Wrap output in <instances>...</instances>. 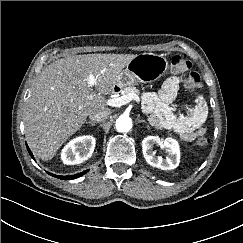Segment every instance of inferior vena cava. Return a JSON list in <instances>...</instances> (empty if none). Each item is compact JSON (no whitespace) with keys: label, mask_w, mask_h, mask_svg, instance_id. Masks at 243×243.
Returning a JSON list of instances; mask_svg holds the SVG:
<instances>
[{"label":"inferior vena cava","mask_w":243,"mask_h":243,"mask_svg":"<svg viewBox=\"0 0 243 243\" xmlns=\"http://www.w3.org/2000/svg\"><path fill=\"white\" fill-rule=\"evenodd\" d=\"M109 114H110V112L107 108H100V109H95V110L91 111L89 113V118L93 122H103L108 118Z\"/></svg>","instance_id":"602c4592"}]
</instances>
